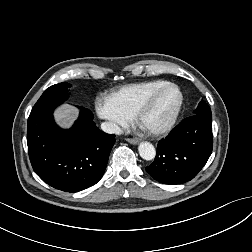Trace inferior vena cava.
<instances>
[{
    "mask_svg": "<svg viewBox=\"0 0 252 252\" xmlns=\"http://www.w3.org/2000/svg\"><path fill=\"white\" fill-rule=\"evenodd\" d=\"M101 129L109 134H122V129L115 123L112 122H103L101 123Z\"/></svg>",
    "mask_w": 252,
    "mask_h": 252,
    "instance_id": "1",
    "label": "inferior vena cava"
}]
</instances>
